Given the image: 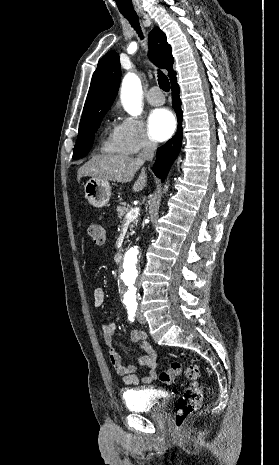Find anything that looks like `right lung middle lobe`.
I'll use <instances>...</instances> for the list:
<instances>
[{"label": "right lung middle lobe", "mask_w": 279, "mask_h": 465, "mask_svg": "<svg viewBox=\"0 0 279 465\" xmlns=\"http://www.w3.org/2000/svg\"><path fill=\"white\" fill-rule=\"evenodd\" d=\"M107 111L108 109L102 111L92 121L79 127L78 138L73 152V159H79L87 155L92 146L95 132Z\"/></svg>", "instance_id": "dd1d6c3e"}]
</instances>
